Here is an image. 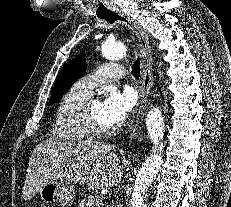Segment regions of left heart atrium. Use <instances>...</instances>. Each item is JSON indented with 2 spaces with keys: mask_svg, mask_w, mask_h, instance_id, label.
<instances>
[{
  "mask_svg": "<svg viewBox=\"0 0 231 207\" xmlns=\"http://www.w3.org/2000/svg\"><path fill=\"white\" fill-rule=\"evenodd\" d=\"M135 103L136 95L132 89H113L102 103V117L110 126L117 125L126 119Z\"/></svg>",
  "mask_w": 231,
  "mask_h": 207,
  "instance_id": "39dd6f15",
  "label": "left heart atrium"
}]
</instances>
